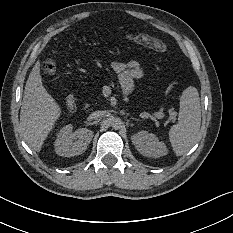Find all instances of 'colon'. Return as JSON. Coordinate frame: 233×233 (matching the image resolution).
I'll return each mask as SVG.
<instances>
[{
    "label": "colon",
    "instance_id": "5ec220e1",
    "mask_svg": "<svg viewBox=\"0 0 233 233\" xmlns=\"http://www.w3.org/2000/svg\"><path fill=\"white\" fill-rule=\"evenodd\" d=\"M141 41H144L150 47L161 52L165 51L166 49L165 45L157 39L145 38L141 39ZM42 69L44 70V72L49 73L50 76H53L56 71V65L53 60H47L42 64Z\"/></svg>",
    "mask_w": 233,
    "mask_h": 233
}]
</instances>
